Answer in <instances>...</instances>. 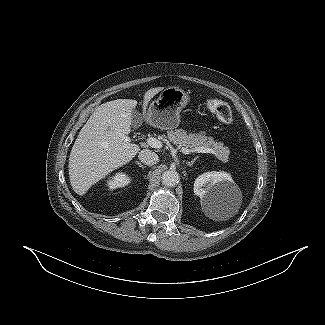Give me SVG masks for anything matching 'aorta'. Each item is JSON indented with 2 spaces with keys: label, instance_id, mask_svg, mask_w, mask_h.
<instances>
[{
  "label": "aorta",
  "instance_id": "aorta-1",
  "mask_svg": "<svg viewBox=\"0 0 325 325\" xmlns=\"http://www.w3.org/2000/svg\"><path fill=\"white\" fill-rule=\"evenodd\" d=\"M162 183L165 186L172 187L178 184L180 176L175 170H167L162 174Z\"/></svg>",
  "mask_w": 325,
  "mask_h": 325
}]
</instances>
